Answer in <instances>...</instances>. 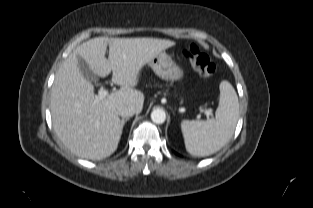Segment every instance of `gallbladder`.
<instances>
[{
    "instance_id": "obj_1",
    "label": "gallbladder",
    "mask_w": 313,
    "mask_h": 208,
    "mask_svg": "<svg viewBox=\"0 0 313 208\" xmlns=\"http://www.w3.org/2000/svg\"><path fill=\"white\" fill-rule=\"evenodd\" d=\"M78 62H79L80 70H81L82 74L84 75V77H86L87 79H90L92 81H96L97 78L93 74V72L90 70L88 64L82 58H79Z\"/></svg>"
}]
</instances>
